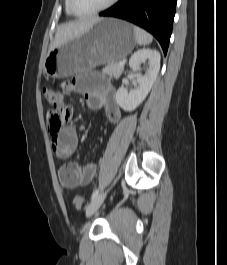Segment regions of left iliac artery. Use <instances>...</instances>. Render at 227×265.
I'll return each mask as SVG.
<instances>
[{"label": "left iliac artery", "instance_id": "44dca946", "mask_svg": "<svg viewBox=\"0 0 227 265\" xmlns=\"http://www.w3.org/2000/svg\"><path fill=\"white\" fill-rule=\"evenodd\" d=\"M98 189H95L92 196H91V201H93L97 196H98Z\"/></svg>", "mask_w": 227, "mask_h": 265}]
</instances>
